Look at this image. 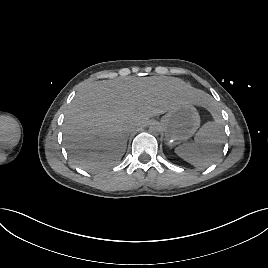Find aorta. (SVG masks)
Here are the masks:
<instances>
[{
    "label": "aorta",
    "instance_id": "aorta-1",
    "mask_svg": "<svg viewBox=\"0 0 268 268\" xmlns=\"http://www.w3.org/2000/svg\"><path fill=\"white\" fill-rule=\"evenodd\" d=\"M162 130H163L162 125L159 122L155 121L149 125V132L151 134H159L162 132Z\"/></svg>",
    "mask_w": 268,
    "mask_h": 268
}]
</instances>
